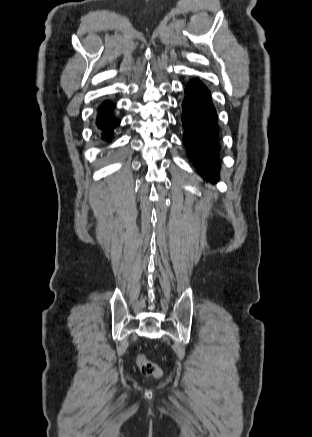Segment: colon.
Returning <instances> with one entry per match:
<instances>
[{
  "instance_id": "colon-1",
  "label": "colon",
  "mask_w": 312,
  "mask_h": 437,
  "mask_svg": "<svg viewBox=\"0 0 312 437\" xmlns=\"http://www.w3.org/2000/svg\"><path fill=\"white\" fill-rule=\"evenodd\" d=\"M137 365L146 377H158L161 374L159 366L142 355L137 358Z\"/></svg>"
}]
</instances>
